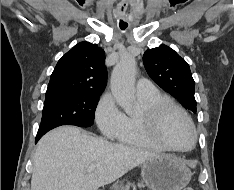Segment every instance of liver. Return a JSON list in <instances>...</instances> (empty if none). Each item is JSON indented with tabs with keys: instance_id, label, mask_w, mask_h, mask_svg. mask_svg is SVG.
<instances>
[{
	"instance_id": "liver-1",
	"label": "liver",
	"mask_w": 234,
	"mask_h": 190,
	"mask_svg": "<svg viewBox=\"0 0 234 190\" xmlns=\"http://www.w3.org/2000/svg\"><path fill=\"white\" fill-rule=\"evenodd\" d=\"M155 156L88 135L77 127H58L37 144L31 190H98ZM90 165L96 168L88 173Z\"/></svg>"
}]
</instances>
